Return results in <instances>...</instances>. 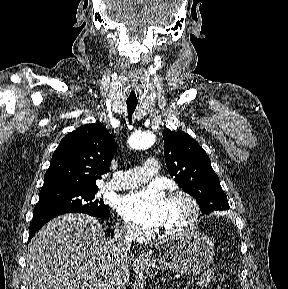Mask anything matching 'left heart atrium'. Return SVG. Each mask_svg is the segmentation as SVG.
<instances>
[{
	"instance_id": "39dd6f15",
	"label": "left heart atrium",
	"mask_w": 288,
	"mask_h": 289,
	"mask_svg": "<svg viewBox=\"0 0 288 289\" xmlns=\"http://www.w3.org/2000/svg\"><path fill=\"white\" fill-rule=\"evenodd\" d=\"M167 199L160 188L150 186L120 197L116 209L126 220L149 227L162 226L166 218Z\"/></svg>"
}]
</instances>
